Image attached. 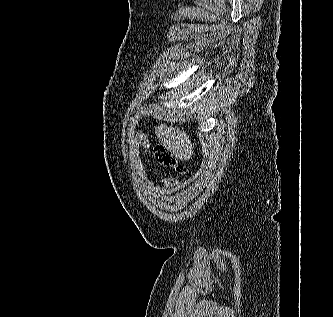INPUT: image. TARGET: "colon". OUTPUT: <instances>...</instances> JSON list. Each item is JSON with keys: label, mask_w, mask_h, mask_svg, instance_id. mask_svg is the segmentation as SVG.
Masks as SVG:
<instances>
[{"label": "colon", "mask_w": 333, "mask_h": 317, "mask_svg": "<svg viewBox=\"0 0 333 317\" xmlns=\"http://www.w3.org/2000/svg\"><path fill=\"white\" fill-rule=\"evenodd\" d=\"M154 157L158 163L163 166L175 169L176 172L181 175L187 173V169L184 166L180 165L175 156L165 146L161 144L155 145Z\"/></svg>", "instance_id": "obj_1"}]
</instances>
